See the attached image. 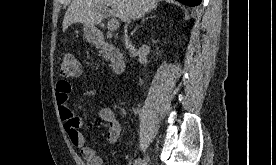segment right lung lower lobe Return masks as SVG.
Here are the masks:
<instances>
[{
  "label": "right lung lower lobe",
  "instance_id": "1",
  "mask_svg": "<svg viewBox=\"0 0 276 165\" xmlns=\"http://www.w3.org/2000/svg\"><path fill=\"white\" fill-rule=\"evenodd\" d=\"M187 6H197L201 3V0H177Z\"/></svg>",
  "mask_w": 276,
  "mask_h": 165
}]
</instances>
